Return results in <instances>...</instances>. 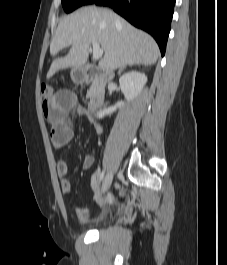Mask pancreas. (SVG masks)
<instances>
[{
	"mask_svg": "<svg viewBox=\"0 0 227 265\" xmlns=\"http://www.w3.org/2000/svg\"><path fill=\"white\" fill-rule=\"evenodd\" d=\"M94 90H95V84H93V85L90 87V89H89V91H88V97H91V96L93 95Z\"/></svg>",
	"mask_w": 227,
	"mask_h": 265,
	"instance_id": "1",
	"label": "pancreas"
}]
</instances>
